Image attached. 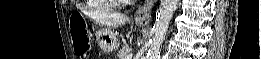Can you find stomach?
<instances>
[{
  "instance_id": "0dacf381",
  "label": "stomach",
  "mask_w": 261,
  "mask_h": 59,
  "mask_svg": "<svg viewBox=\"0 0 261 59\" xmlns=\"http://www.w3.org/2000/svg\"><path fill=\"white\" fill-rule=\"evenodd\" d=\"M99 47L104 53H112L117 49V37L111 28H102L96 32Z\"/></svg>"
}]
</instances>
